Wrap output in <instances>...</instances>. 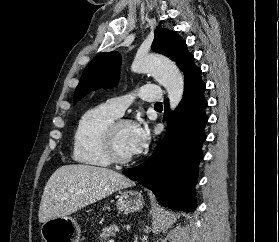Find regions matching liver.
I'll list each match as a JSON object with an SVG mask.
<instances>
[{
	"mask_svg": "<svg viewBox=\"0 0 279 242\" xmlns=\"http://www.w3.org/2000/svg\"><path fill=\"white\" fill-rule=\"evenodd\" d=\"M134 183L114 170L90 165H64L49 178L41 197L39 222L68 216Z\"/></svg>",
	"mask_w": 279,
	"mask_h": 242,
	"instance_id": "obj_1",
	"label": "liver"
}]
</instances>
